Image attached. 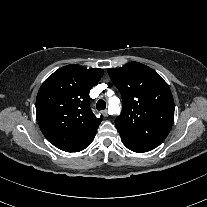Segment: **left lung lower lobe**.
I'll list each match as a JSON object with an SVG mask.
<instances>
[{
  "label": "left lung lower lobe",
  "mask_w": 207,
  "mask_h": 207,
  "mask_svg": "<svg viewBox=\"0 0 207 207\" xmlns=\"http://www.w3.org/2000/svg\"><path fill=\"white\" fill-rule=\"evenodd\" d=\"M122 142L128 149L134 152H138V153L147 152V151H150L156 148L155 146L139 144V143H136L134 141L127 140L124 138H122Z\"/></svg>",
  "instance_id": "0a47b994"
}]
</instances>
